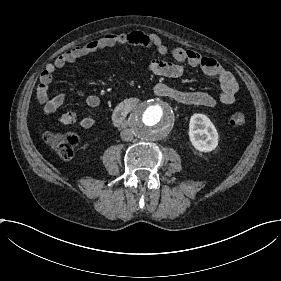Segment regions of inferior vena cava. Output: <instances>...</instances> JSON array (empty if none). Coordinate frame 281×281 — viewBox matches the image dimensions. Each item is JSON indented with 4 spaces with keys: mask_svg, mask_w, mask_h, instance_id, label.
I'll use <instances>...</instances> for the list:
<instances>
[{
    "mask_svg": "<svg viewBox=\"0 0 281 281\" xmlns=\"http://www.w3.org/2000/svg\"><path fill=\"white\" fill-rule=\"evenodd\" d=\"M121 137L125 141H132L134 139V133L130 129H125L121 132Z\"/></svg>",
    "mask_w": 281,
    "mask_h": 281,
    "instance_id": "obj_1",
    "label": "inferior vena cava"
}]
</instances>
